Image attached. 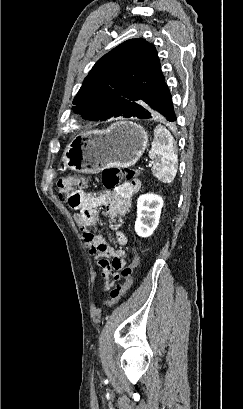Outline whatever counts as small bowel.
<instances>
[{
	"label": "small bowel",
	"instance_id": "c3829d8e",
	"mask_svg": "<svg viewBox=\"0 0 243 409\" xmlns=\"http://www.w3.org/2000/svg\"><path fill=\"white\" fill-rule=\"evenodd\" d=\"M140 188L141 182L135 179L121 184L114 191L101 194L89 195L77 191L80 203L77 207H74V209L78 210L74 215V219L81 230L89 254L100 268L101 276L105 280V291L110 290L117 281L121 280L120 271L125 266V251L109 246L103 236L94 230L99 224L96 209L104 207L106 215L111 218H118L128 211L133 195ZM112 231L120 245L127 244L128 238L122 231L117 227H113Z\"/></svg>",
	"mask_w": 243,
	"mask_h": 409
}]
</instances>
